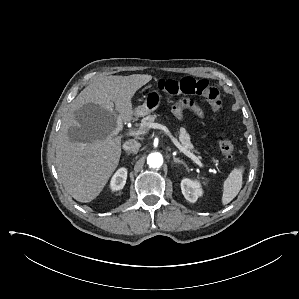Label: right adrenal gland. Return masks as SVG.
I'll use <instances>...</instances> for the list:
<instances>
[{
	"label": "right adrenal gland",
	"mask_w": 299,
	"mask_h": 299,
	"mask_svg": "<svg viewBox=\"0 0 299 299\" xmlns=\"http://www.w3.org/2000/svg\"><path fill=\"white\" fill-rule=\"evenodd\" d=\"M126 154H127V155H130V153H129V152H126Z\"/></svg>",
	"instance_id": "1"
}]
</instances>
